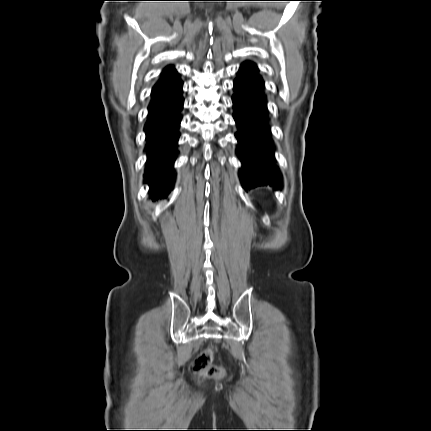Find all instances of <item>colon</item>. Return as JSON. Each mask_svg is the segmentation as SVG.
Masks as SVG:
<instances>
[{
    "label": "colon",
    "mask_w": 431,
    "mask_h": 431,
    "mask_svg": "<svg viewBox=\"0 0 431 431\" xmlns=\"http://www.w3.org/2000/svg\"><path fill=\"white\" fill-rule=\"evenodd\" d=\"M213 354V348L203 351L193 362L192 371L199 374L201 378H223L225 376L224 369L211 364Z\"/></svg>",
    "instance_id": "5ec220e1"
}]
</instances>
